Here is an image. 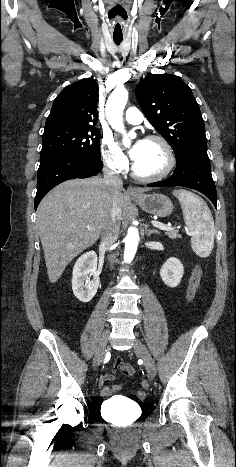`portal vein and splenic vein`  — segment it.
Returning a JSON list of instances; mask_svg holds the SVG:
<instances>
[{
	"instance_id": "18ae733b",
	"label": "portal vein and splenic vein",
	"mask_w": 236,
	"mask_h": 467,
	"mask_svg": "<svg viewBox=\"0 0 236 467\" xmlns=\"http://www.w3.org/2000/svg\"><path fill=\"white\" fill-rule=\"evenodd\" d=\"M151 224L154 227H156V228H158L160 230H165V231H173L174 230V228H172L171 226H167V225H165V224H163L161 222H158V221H152ZM186 232L189 233V231H187V230H186Z\"/></svg>"
}]
</instances>
